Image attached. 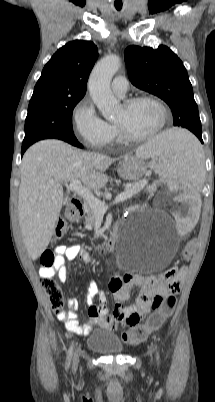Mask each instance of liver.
<instances>
[{
  "mask_svg": "<svg viewBox=\"0 0 215 402\" xmlns=\"http://www.w3.org/2000/svg\"><path fill=\"white\" fill-rule=\"evenodd\" d=\"M116 159L79 151L60 140H43L24 154L20 167L18 212L27 252L36 260L48 247L64 202L63 184L79 180L89 189L103 188Z\"/></svg>",
  "mask_w": 215,
  "mask_h": 402,
  "instance_id": "obj_1",
  "label": "liver"
}]
</instances>
